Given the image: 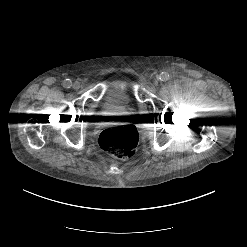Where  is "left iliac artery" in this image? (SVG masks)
Returning a JSON list of instances; mask_svg holds the SVG:
<instances>
[{
    "label": "left iliac artery",
    "mask_w": 247,
    "mask_h": 247,
    "mask_svg": "<svg viewBox=\"0 0 247 247\" xmlns=\"http://www.w3.org/2000/svg\"><path fill=\"white\" fill-rule=\"evenodd\" d=\"M169 78H170V76H169V74L166 73V72H162V73L160 74V76H159V79H160L161 81H167V80H169Z\"/></svg>",
    "instance_id": "obj_1"
}]
</instances>
